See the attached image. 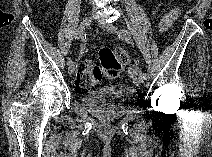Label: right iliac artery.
Returning <instances> with one entry per match:
<instances>
[{"instance_id":"82829eb1","label":"right iliac artery","mask_w":212,"mask_h":157,"mask_svg":"<svg viewBox=\"0 0 212 157\" xmlns=\"http://www.w3.org/2000/svg\"><path fill=\"white\" fill-rule=\"evenodd\" d=\"M81 36H80V34H78V33H75V35H74V38L75 39H79ZM73 62H72V60L70 59V58H68V60H67V64L68 65H71Z\"/></svg>"}]
</instances>
